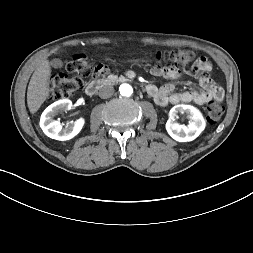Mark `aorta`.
Returning a JSON list of instances; mask_svg holds the SVG:
<instances>
[{"label": "aorta", "instance_id": "1", "mask_svg": "<svg viewBox=\"0 0 253 253\" xmlns=\"http://www.w3.org/2000/svg\"><path fill=\"white\" fill-rule=\"evenodd\" d=\"M119 91H120V94L122 96H131L132 93H133V88L131 85L129 84H121L120 87H119Z\"/></svg>", "mask_w": 253, "mask_h": 253}]
</instances>
